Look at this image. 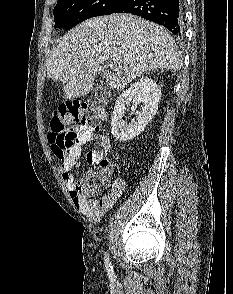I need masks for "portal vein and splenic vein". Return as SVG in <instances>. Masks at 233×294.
<instances>
[{
  "mask_svg": "<svg viewBox=\"0 0 233 294\" xmlns=\"http://www.w3.org/2000/svg\"><path fill=\"white\" fill-rule=\"evenodd\" d=\"M108 67H110L111 69H113L115 67V65L113 63H109Z\"/></svg>",
  "mask_w": 233,
  "mask_h": 294,
  "instance_id": "portal-vein-and-splenic-vein-1",
  "label": "portal vein and splenic vein"
}]
</instances>
